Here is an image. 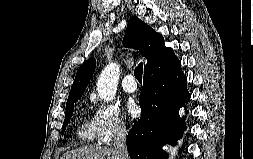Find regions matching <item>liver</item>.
Masks as SVG:
<instances>
[{
  "instance_id": "liver-1",
  "label": "liver",
  "mask_w": 253,
  "mask_h": 159,
  "mask_svg": "<svg viewBox=\"0 0 253 159\" xmlns=\"http://www.w3.org/2000/svg\"><path fill=\"white\" fill-rule=\"evenodd\" d=\"M60 159H120L113 148L84 146L66 152Z\"/></svg>"
}]
</instances>
